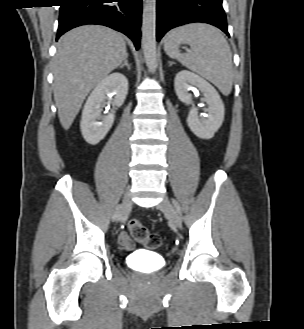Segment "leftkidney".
<instances>
[{
  "label": "left kidney",
  "mask_w": 304,
  "mask_h": 329,
  "mask_svg": "<svg viewBox=\"0 0 304 329\" xmlns=\"http://www.w3.org/2000/svg\"><path fill=\"white\" fill-rule=\"evenodd\" d=\"M174 88L180 101L192 102L190 90L198 89L204 95L203 101L208 108L206 117L199 118L196 108H192L187 118V124L191 131L201 139H211L221 127L224 120V104L216 89L202 77L187 70L177 73L174 80Z\"/></svg>",
  "instance_id": "left-kidney-1"
}]
</instances>
